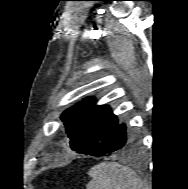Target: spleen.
I'll list each match as a JSON object with an SVG mask.
<instances>
[{"label":"spleen","mask_w":188,"mask_h":189,"mask_svg":"<svg viewBox=\"0 0 188 189\" xmlns=\"http://www.w3.org/2000/svg\"><path fill=\"white\" fill-rule=\"evenodd\" d=\"M92 178L87 189H141L137 174L116 162H102L89 170Z\"/></svg>","instance_id":"obj_1"}]
</instances>
